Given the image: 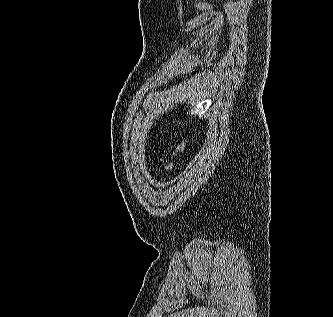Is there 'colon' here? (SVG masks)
<instances>
[{
  "mask_svg": "<svg viewBox=\"0 0 333 317\" xmlns=\"http://www.w3.org/2000/svg\"><path fill=\"white\" fill-rule=\"evenodd\" d=\"M185 146H186L185 140H181L176 144V146L173 148V150L171 152V155H170L167 163L163 167L164 172H167L172 169V167L175 163V160L184 151Z\"/></svg>",
  "mask_w": 333,
  "mask_h": 317,
  "instance_id": "5ec220e1",
  "label": "colon"
}]
</instances>
